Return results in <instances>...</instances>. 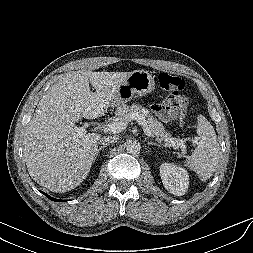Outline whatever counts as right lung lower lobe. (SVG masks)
<instances>
[{"label":"right lung lower lobe","mask_w":253,"mask_h":253,"mask_svg":"<svg viewBox=\"0 0 253 253\" xmlns=\"http://www.w3.org/2000/svg\"><path fill=\"white\" fill-rule=\"evenodd\" d=\"M42 193L45 194L44 192H42ZM45 196H47L50 200H53V201H56V202H64V201H66V200H59V199L52 198V197H50L47 194H45Z\"/></svg>","instance_id":"obj_1"}]
</instances>
